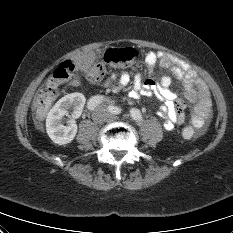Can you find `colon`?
<instances>
[{
	"instance_id": "colon-1",
	"label": "colon",
	"mask_w": 233,
	"mask_h": 233,
	"mask_svg": "<svg viewBox=\"0 0 233 233\" xmlns=\"http://www.w3.org/2000/svg\"><path fill=\"white\" fill-rule=\"evenodd\" d=\"M138 56L137 50L133 48H114L108 49L102 62H95L85 69V76L89 81H99L107 71L108 66L121 67L132 64ZM75 70L72 61L61 63L50 75L45 85L38 91L34 101V111L37 118H43L58 97L59 88L64 84ZM203 128L186 126L183 137L192 139L203 132Z\"/></svg>"
}]
</instances>
